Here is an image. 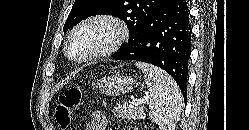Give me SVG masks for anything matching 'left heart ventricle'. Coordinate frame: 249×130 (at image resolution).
I'll use <instances>...</instances> for the list:
<instances>
[{
  "instance_id": "b2bd125f",
  "label": "left heart ventricle",
  "mask_w": 249,
  "mask_h": 130,
  "mask_svg": "<svg viewBox=\"0 0 249 130\" xmlns=\"http://www.w3.org/2000/svg\"><path fill=\"white\" fill-rule=\"evenodd\" d=\"M114 34V29L110 25H89L74 35L69 44V53L76 58L84 57L106 46Z\"/></svg>"
}]
</instances>
